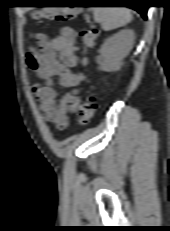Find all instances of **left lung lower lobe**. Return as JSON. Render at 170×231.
Instances as JSON below:
<instances>
[{"label": "left lung lower lobe", "instance_id": "1", "mask_svg": "<svg viewBox=\"0 0 170 231\" xmlns=\"http://www.w3.org/2000/svg\"><path fill=\"white\" fill-rule=\"evenodd\" d=\"M129 4H132L131 6H128L134 10H136L137 12H139L141 14V16L144 19H147V9L148 6H146L144 3V0H130L129 2H127Z\"/></svg>", "mask_w": 170, "mask_h": 231}]
</instances>
